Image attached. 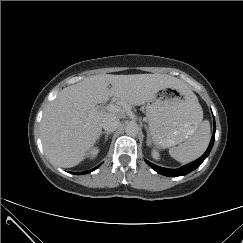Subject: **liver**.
<instances>
[{
  "instance_id": "liver-1",
  "label": "liver",
  "mask_w": 243,
  "mask_h": 243,
  "mask_svg": "<svg viewBox=\"0 0 243 243\" xmlns=\"http://www.w3.org/2000/svg\"><path fill=\"white\" fill-rule=\"evenodd\" d=\"M166 88L187 90L181 80L165 74H101L64 88L48 105L41 121L46 155L63 168L78 165L99 138L103 120L118 117L113 112L99 111L98 103L113 96L123 104L140 106Z\"/></svg>"
}]
</instances>
